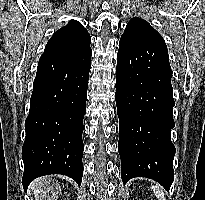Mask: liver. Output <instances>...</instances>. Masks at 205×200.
Wrapping results in <instances>:
<instances>
[{
	"instance_id": "6515ba94",
	"label": "liver",
	"mask_w": 205,
	"mask_h": 200,
	"mask_svg": "<svg viewBox=\"0 0 205 200\" xmlns=\"http://www.w3.org/2000/svg\"><path fill=\"white\" fill-rule=\"evenodd\" d=\"M31 188L34 191L36 200H57L61 194V187L52 177H41L32 182Z\"/></svg>"
}]
</instances>
